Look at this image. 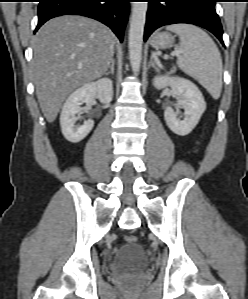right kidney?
<instances>
[{
  "label": "right kidney",
  "mask_w": 248,
  "mask_h": 299,
  "mask_svg": "<svg viewBox=\"0 0 248 299\" xmlns=\"http://www.w3.org/2000/svg\"><path fill=\"white\" fill-rule=\"evenodd\" d=\"M113 84L110 79L102 78L95 82H89L75 90L67 98L64 103L60 115V125L64 137L72 142L78 143L83 140L94 126V121L88 119L83 125L76 126L75 123L79 119V113L91 107L94 98H98L103 104L112 101ZM85 103L86 107L81 105Z\"/></svg>",
  "instance_id": "right-kidney-1"
}]
</instances>
